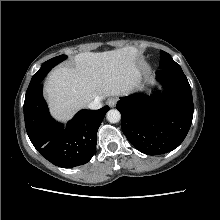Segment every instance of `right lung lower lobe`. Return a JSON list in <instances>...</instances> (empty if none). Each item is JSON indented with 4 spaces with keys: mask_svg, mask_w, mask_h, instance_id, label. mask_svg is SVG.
Wrapping results in <instances>:
<instances>
[{
    "mask_svg": "<svg viewBox=\"0 0 220 220\" xmlns=\"http://www.w3.org/2000/svg\"><path fill=\"white\" fill-rule=\"evenodd\" d=\"M42 89L39 83L25 95L24 120L32 144L56 166L71 168L87 163L96 150L97 131L109 107L81 110L64 127L51 118Z\"/></svg>",
    "mask_w": 220,
    "mask_h": 220,
    "instance_id": "right-lung-lower-lobe-1",
    "label": "right lung lower lobe"
}]
</instances>
